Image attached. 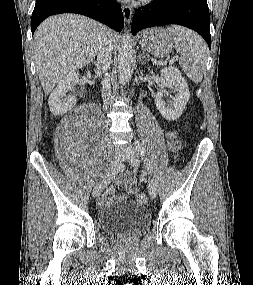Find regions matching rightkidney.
Wrapping results in <instances>:
<instances>
[{
    "instance_id": "obj_1",
    "label": "right kidney",
    "mask_w": 253,
    "mask_h": 285,
    "mask_svg": "<svg viewBox=\"0 0 253 285\" xmlns=\"http://www.w3.org/2000/svg\"><path fill=\"white\" fill-rule=\"evenodd\" d=\"M87 77H91L88 71ZM79 81V73L72 72L61 79L49 97V108L54 115H63L76 105V98H71L66 102H62V97Z\"/></svg>"
}]
</instances>
